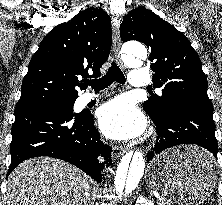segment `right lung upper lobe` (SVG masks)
I'll return each mask as SVG.
<instances>
[{
  "instance_id": "cb5924a9",
  "label": "right lung upper lobe",
  "mask_w": 222,
  "mask_h": 205,
  "mask_svg": "<svg viewBox=\"0 0 222 205\" xmlns=\"http://www.w3.org/2000/svg\"><path fill=\"white\" fill-rule=\"evenodd\" d=\"M109 15L89 7L53 28L31 58L16 107L75 101L86 79L100 76L111 49ZM92 71L93 75H89Z\"/></svg>"
}]
</instances>
